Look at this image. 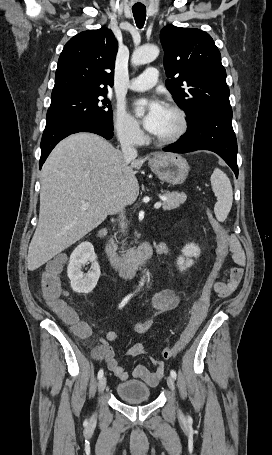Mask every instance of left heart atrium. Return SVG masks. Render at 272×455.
<instances>
[{
    "label": "left heart atrium",
    "mask_w": 272,
    "mask_h": 455,
    "mask_svg": "<svg viewBox=\"0 0 272 455\" xmlns=\"http://www.w3.org/2000/svg\"><path fill=\"white\" fill-rule=\"evenodd\" d=\"M135 106L145 111L142 119L143 126L147 131L154 134L160 126L166 106L155 98L139 99Z\"/></svg>",
    "instance_id": "1"
}]
</instances>
